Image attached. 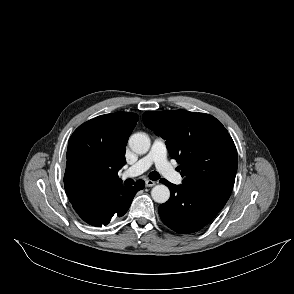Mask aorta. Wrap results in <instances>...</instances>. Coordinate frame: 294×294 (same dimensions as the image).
Here are the masks:
<instances>
[{
	"label": "aorta",
	"instance_id": "1",
	"mask_svg": "<svg viewBox=\"0 0 294 294\" xmlns=\"http://www.w3.org/2000/svg\"><path fill=\"white\" fill-rule=\"evenodd\" d=\"M129 147L136 154H145L150 148V138L144 133H135L129 138ZM151 196L157 203H165L170 197V191L167 186L156 185L151 190Z\"/></svg>",
	"mask_w": 294,
	"mask_h": 294
}]
</instances>
